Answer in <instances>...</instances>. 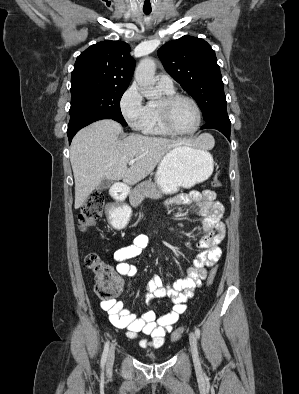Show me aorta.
<instances>
[{
	"mask_svg": "<svg viewBox=\"0 0 299 394\" xmlns=\"http://www.w3.org/2000/svg\"><path fill=\"white\" fill-rule=\"evenodd\" d=\"M156 65L153 59L145 58L140 61L135 70V80L140 87L141 93L147 99H156L159 96L155 89Z\"/></svg>",
	"mask_w": 299,
	"mask_h": 394,
	"instance_id": "obj_1",
	"label": "aorta"
}]
</instances>
